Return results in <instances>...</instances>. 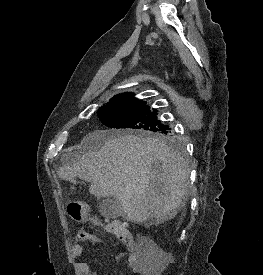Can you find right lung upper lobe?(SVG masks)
Wrapping results in <instances>:
<instances>
[{"label": "right lung upper lobe", "mask_w": 263, "mask_h": 275, "mask_svg": "<svg viewBox=\"0 0 263 275\" xmlns=\"http://www.w3.org/2000/svg\"><path fill=\"white\" fill-rule=\"evenodd\" d=\"M124 95H126V96H128V97H131V98H134L133 96V94L132 93H123ZM134 99H136V98H134Z\"/></svg>", "instance_id": "right-lung-upper-lobe-1"}]
</instances>
